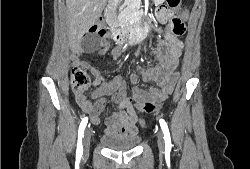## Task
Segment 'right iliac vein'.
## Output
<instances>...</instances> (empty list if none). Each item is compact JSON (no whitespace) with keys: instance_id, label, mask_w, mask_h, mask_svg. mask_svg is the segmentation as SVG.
<instances>
[{"instance_id":"1","label":"right iliac vein","mask_w":250,"mask_h":169,"mask_svg":"<svg viewBox=\"0 0 250 169\" xmlns=\"http://www.w3.org/2000/svg\"><path fill=\"white\" fill-rule=\"evenodd\" d=\"M90 141H91V131L90 129H86L83 135V147L86 153L89 151Z\"/></svg>"}]
</instances>
